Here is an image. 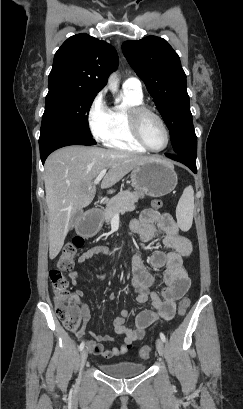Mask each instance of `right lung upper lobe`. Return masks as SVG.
Wrapping results in <instances>:
<instances>
[{"label": "right lung upper lobe", "mask_w": 243, "mask_h": 409, "mask_svg": "<svg viewBox=\"0 0 243 409\" xmlns=\"http://www.w3.org/2000/svg\"><path fill=\"white\" fill-rule=\"evenodd\" d=\"M117 66L118 55L113 46L88 34H77L68 38L55 53L49 83L98 93Z\"/></svg>", "instance_id": "right-lung-upper-lobe-1"}]
</instances>
